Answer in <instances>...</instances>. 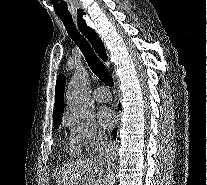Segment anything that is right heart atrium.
<instances>
[{
    "mask_svg": "<svg viewBox=\"0 0 207 185\" xmlns=\"http://www.w3.org/2000/svg\"><path fill=\"white\" fill-rule=\"evenodd\" d=\"M62 123L68 128L72 138L89 152H96L107 139L105 131L89 112L67 111Z\"/></svg>",
    "mask_w": 207,
    "mask_h": 185,
    "instance_id": "right-heart-atrium-1",
    "label": "right heart atrium"
}]
</instances>
